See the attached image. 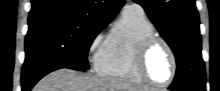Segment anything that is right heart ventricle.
Segmentation results:
<instances>
[{"label": "right heart ventricle", "instance_id": "obj_1", "mask_svg": "<svg viewBox=\"0 0 220 91\" xmlns=\"http://www.w3.org/2000/svg\"><path fill=\"white\" fill-rule=\"evenodd\" d=\"M154 35V25L142 10L123 11L96 56V71L129 84H145L136 71L135 55L139 44Z\"/></svg>", "mask_w": 220, "mask_h": 91}]
</instances>
